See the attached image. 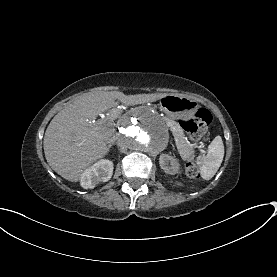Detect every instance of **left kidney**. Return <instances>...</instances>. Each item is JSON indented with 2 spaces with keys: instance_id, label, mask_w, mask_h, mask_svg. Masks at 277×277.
<instances>
[{
  "instance_id": "obj_1",
  "label": "left kidney",
  "mask_w": 277,
  "mask_h": 277,
  "mask_svg": "<svg viewBox=\"0 0 277 277\" xmlns=\"http://www.w3.org/2000/svg\"><path fill=\"white\" fill-rule=\"evenodd\" d=\"M170 163V166H169ZM159 164L161 169L164 170L165 173L170 175H175L179 171V163L178 161L173 158L172 156H169L168 154H161L159 158Z\"/></svg>"
}]
</instances>
